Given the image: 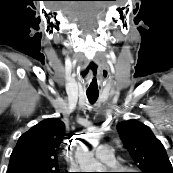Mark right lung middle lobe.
Returning <instances> with one entry per match:
<instances>
[{
	"label": "right lung middle lobe",
	"instance_id": "obj_1",
	"mask_svg": "<svg viewBox=\"0 0 173 173\" xmlns=\"http://www.w3.org/2000/svg\"><path fill=\"white\" fill-rule=\"evenodd\" d=\"M21 173H60V172L47 170V171H21Z\"/></svg>",
	"mask_w": 173,
	"mask_h": 173
}]
</instances>
